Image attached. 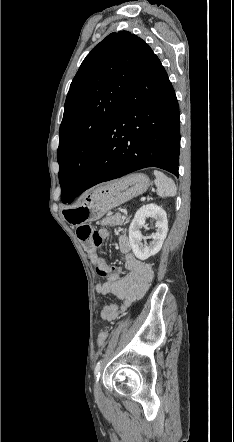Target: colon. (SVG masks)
<instances>
[{"mask_svg":"<svg viewBox=\"0 0 234 442\" xmlns=\"http://www.w3.org/2000/svg\"><path fill=\"white\" fill-rule=\"evenodd\" d=\"M77 236L84 248L89 253H95L96 248L102 243L101 238L90 225L84 224L77 228ZM107 339V333L101 332L98 337V345L103 346Z\"/></svg>","mask_w":234,"mask_h":442,"instance_id":"5ec220e1","label":"colon"}]
</instances>
